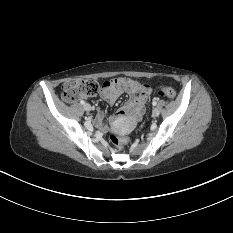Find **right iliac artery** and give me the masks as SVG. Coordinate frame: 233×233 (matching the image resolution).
<instances>
[{"mask_svg":"<svg viewBox=\"0 0 233 233\" xmlns=\"http://www.w3.org/2000/svg\"><path fill=\"white\" fill-rule=\"evenodd\" d=\"M80 103H81L82 105H84V104H85V102H84L83 100H81V101H80Z\"/></svg>","mask_w":233,"mask_h":233,"instance_id":"obj_1","label":"right iliac artery"}]
</instances>
